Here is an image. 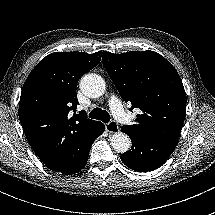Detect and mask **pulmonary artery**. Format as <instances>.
I'll list each match as a JSON object with an SVG mask.
<instances>
[{"label": "pulmonary artery", "mask_w": 215, "mask_h": 215, "mask_svg": "<svg viewBox=\"0 0 215 215\" xmlns=\"http://www.w3.org/2000/svg\"><path fill=\"white\" fill-rule=\"evenodd\" d=\"M106 107L111 110L112 117L120 125L132 126L135 123V116L127 112L116 97H109L106 100Z\"/></svg>", "instance_id": "obj_1"}]
</instances>
